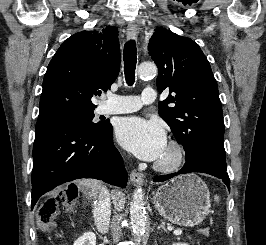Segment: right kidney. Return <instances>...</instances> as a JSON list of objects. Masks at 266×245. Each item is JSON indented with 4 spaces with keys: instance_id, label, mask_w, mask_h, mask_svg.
<instances>
[{
    "instance_id": "1",
    "label": "right kidney",
    "mask_w": 266,
    "mask_h": 245,
    "mask_svg": "<svg viewBox=\"0 0 266 245\" xmlns=\"http://www.w3.org/2000/svg\"><path fill=\"white\" fill-rule=\"evenodd\" d=\"M74 245H96V235L94 233H84L82 237L74 241Z\"/></svg>"
}]
</instances>
